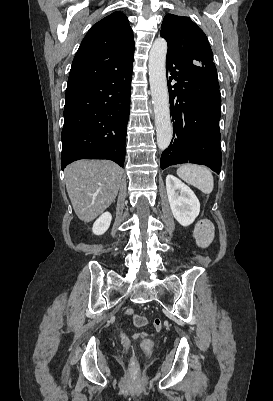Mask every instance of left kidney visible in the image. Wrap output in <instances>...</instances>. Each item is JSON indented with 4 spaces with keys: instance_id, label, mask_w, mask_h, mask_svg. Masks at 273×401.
I'll return each instance as SVG.
<instances>
[{
    "instance_id": "obj_1",
    "label": "left kidney",
    "mask_w": 273,
    "mask_h": 401,
    "mask_svg": "<svg viewBox=\"0 0 273 401\" xmlns=\"http://www.w3.org/2000/svg\"><path fill=\"white\" fill-rule=\"evenodd\" d=\"M166 188L170 209L176 221L183 227L192 225L200 213V203L196 194L173 174H167Z\"/></svg>"
}]
</instances>
